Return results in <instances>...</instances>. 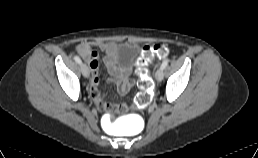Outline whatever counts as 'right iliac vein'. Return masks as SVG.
<instances>
[{"label": "right iliac vein", "instance_id": "1", "mask_svg": "<svg viewBox=\"0 0 258 158\" xmlns=\"http://www.w3.org/2000/svg\"><path fill=\"white\" fill-rule=\"evenodd\" d=\"M81 71H82V74L85 78H88L89 75H90V71H89V68L86 64H82L81 65Z\"/></svg>", "mask_w": 258, "mask_h": 158}]
</instances>
